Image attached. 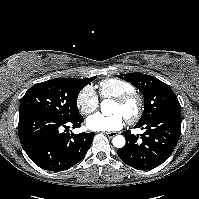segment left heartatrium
I'll use <instances>...</instances> for the list:
<instances>
[{
    "label": "left heart atrium",
    "mask_w": 199,
    "mask_h": 199,
    "mask_svg": "<svg viewBox=\"0 0 199 199\" xmlns=\"http://www.w3.org/2000/svg\"><path fill=\"white\" fill-rule=\"evenodd\" d=\"M125 121L126 117L121 113H113L110 116L98 113L87 119V126L94 131H116L124 126Z\"/></svg>",
    "instance_id": "39dd6f15"
}]
</instances>
